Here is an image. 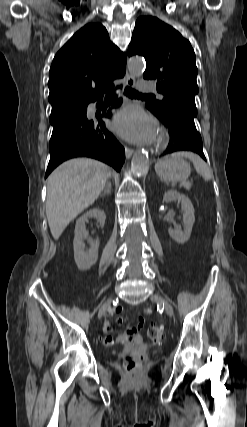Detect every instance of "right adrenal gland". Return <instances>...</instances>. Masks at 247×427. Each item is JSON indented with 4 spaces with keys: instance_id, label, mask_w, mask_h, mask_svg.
<instances>
[{
    "instance_id": "1",
    "label": "right adrenal gland",
    "mask_w": 247,
    "mask_h": 427,
    "mask_svg": "<svg viewBox=\"0 0 247 427\" xmlns=\"http://www.w3.org/2000/svg\"><path fill=\"white\" fill-rule=\"evenodd\" d=\"M111 190H112V188H111V184H110V183H108V184L106 185L105 189L103 190V192H102L101 196L110 195V194H111Z\"/></svg>"
}]
</instances>
